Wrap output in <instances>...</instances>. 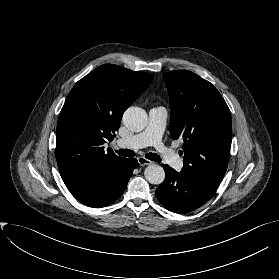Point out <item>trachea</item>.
Masks as SVG:
<instances>
[{
  "label": "trachea",
  "mask_w": 279,
  "mask_h": 279,
  "mask_svg": "<svg viewBox=\"0 0 279 279\" xmlns=\"http://www.w3.org/2000/svg\"><path fill=\"white\" fill-rule=\"evenodd\" d=\"M117 154L120 156H125V157H133L135 156V152L129 149H120V150H116ZM145 157L151 161H155V162H160L161 158L159 155H157L156 153H147L145 155Z\"/></svg>",
  "instance_id": "obj_1"
}]
</instances>
